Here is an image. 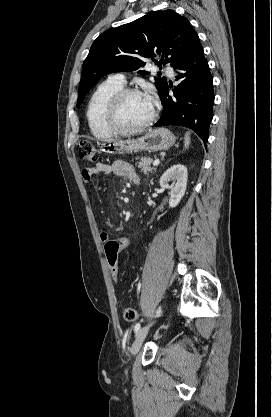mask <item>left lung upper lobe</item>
Returning a JSON list of instances; mask_svg holds the SVG:
<instances>
[{"mask_svg":"<svg viewBox=\"0 0 272 417\" xmlns=\"http://www.w3.org/2000/svg\"><path fill=\"white\" fill-rule=\"evenodd\" d=\"M200 46L192 25L173 10L153 11L131 23L107 30L94 41L83 63L77 106L102 76L137 70L145 66L147 59L157 55L161 60L156 64L171 63L175 67ZM140 73L147 74L145 71ZM155 84L161 95L167 80L155 77Z\"/></svg>","mask_w":272,"mask_h":417,"instance_id":"obj_1","label":"left lung upper lobe"}]
</instances>
